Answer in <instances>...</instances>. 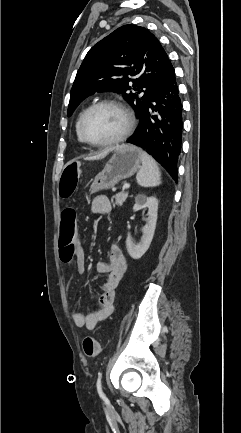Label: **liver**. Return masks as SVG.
<instances>
[{
	"label": "liver",
	"instance_id": "liver-1",
	"mask_svg": "<svg viewBox=\"0 0 241 433\" xmlns=\"http://www.w3.org/2000/svg\"><path fill=\"white\" fill-rule=\"evenodd\" d=\"M121 147H122V146L118 147L117 149H119V148H121ZM106 154H107V152L102 153V154H100V155H98V156H95V157H90V158H88V159H98V158L104 157Z\"/></svg>",
	"mask_w": 241,
	"mask_h": 433
}]
</instances>
